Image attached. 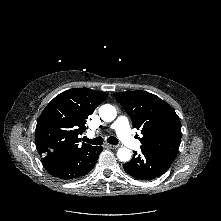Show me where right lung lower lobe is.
<instances>
[{"instance_id": "1", "label": "right lung lower lobe", "mask_w": 221, "mask_h": 221, "mask_svg": "<svg viewBox=\"0 0 221 221\" xmlns=\"http://www.w3.org/2000/svg\"><path fill=\"white\" fill-rule=\"evenodd\" d=\"M102 150V146L88 145L61 153L43 165L54 177L73 180L91 171Z\"/></svg>"}]
</instances>
